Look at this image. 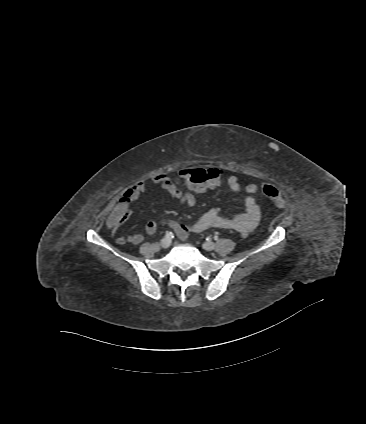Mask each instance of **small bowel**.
I'll return each mask as SVG.
<instances>
[{
	"label": "small bowel",
	"instance_id": "small-bowel-1",
	"mask_svg": "<svg viewBox=\"0 0 366 424\" xmlns=\"http://www.w3.org/2000/svg\"><path fill=\"white\" fill-rule=\"evenodd\" d=\"M213 169L219 173L218 177L212 184H209L206 188L203 189H192L189 187L190 191H182L178 184L175 183L166 174H159L155 176L152 179V183L155 185H160L172 199H175L181 204L191 207L196 203V197L193 192H202L207 189L214 188L223 182L222 170L217 168ZM226 183L230 190L233 192H239L241 190L239 180L235 176L228 177ZM246 187L245 191L247 195L244 199L245 211L241 214L235 215L233 217H224L221 215L219 208L214 207L198 217L189 226H185L179 222H176L175 220L166 218L160 219L159 221H149L145 227L146 233L148 235H153L156 232L158 225H164L173 229L178 237L182 240H185L188 237L189 232H202L210 228L233 230L240 236L245 237L257 228L261 219V210L253 196L254 193L248 192ZM145 190V181H139L127 190L122 201H134ZM126 219L127 218H122L119 216L116 208L109 215L107 219V226L113 230L114 240L119 244L129 243L137 245L141 243L144 239V236L140 233L132 234L127 237H124L118 233V229L126 221Z\"/></svg>",
	"mask_w": 366,
	"mask_h": 424
}]
</instances>
